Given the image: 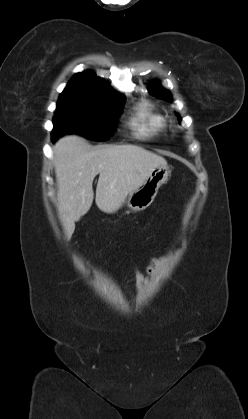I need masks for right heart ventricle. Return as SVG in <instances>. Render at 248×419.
Masks as SVG:
<instances>
[{
    "label": "right heart ventricle",
    "mask_w": 248,
    "mask_h": 419,
    "mask_svg": "<svg viewBox=\"0 0 248 419\" xmlns=\"http://www.w3.org/2000/svg\"><path fill=\"white\" fill-rule=\"evenodd\" d=\"M130 124L138 137L152 138L165 130L166 119L151 102L144 100L136 106Z\"/></svg>",
    "instance_id": "obj_1"
}]
</instances>
